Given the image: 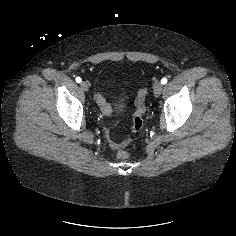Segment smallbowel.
<instances>
[{"label": "small bowel", "instance_id": "small-bowel-1", "mask_svg": "<svg viewBox=\"0 0 236 236\" xmlns=\"http://www.w3.org/2000/svg\"><path fill=\"white\" fill-rule=\"evenodd\" d=\"M96 102L98 103V105L100 106L102 112L105 115H110L111 114V107L110 105L107 103V101L105 100L104 96L98 92L95 96Z\"/></svg>", "mask_w": 236, "mask_h": 236}]
</instances>
